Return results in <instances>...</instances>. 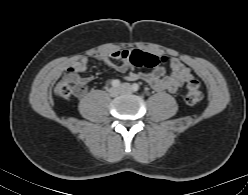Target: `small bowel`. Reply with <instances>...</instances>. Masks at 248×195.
Listing matches in <instances>:
<instances>
[{
    "instance_id": "c3829d8e",
    "label": "small bowel",
    "mask_w": 248,
    "mask_h": 195,
    "mask_svg": "<svg viewBox=\"0 0 248 195\" xmlns=\"http://www.w3.org/2000/svg\"><path fill=\"white\" fill-rule=\"evenodd\" d=\"M128 53L126 51H115L111 54L101 53L92 58L106 64L107 66L126 73V79L129 81L143 80L156 91L177 92L184 84L193 79L191 70L177 58H171L166 66L161 65L150 72H134L126 60ZM90 58H82L75 62L67 71V74H81L87 69ZM167 68L170 72L167 73ZM91 80V77H85L84 82Z\"/></svg>"
}]
</instances>
